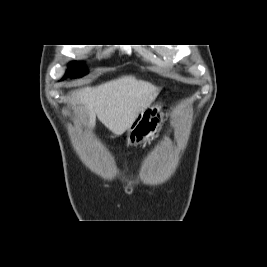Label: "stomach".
<instances>
[{"label":"stomach","instance_id":"1","mask_svg":"<svg viewBox=\"0 0 267 267\" xmlns=\"http://www.w3.org/2000/svg\"><path fill=\"white\" fill-rule=\"evenodd\" d=\"M164 122L162 103L150 105L140 112L127 130L128 146H135L140 143H147L156 138Z\"/></svg>","mask_w":267,"mask_h":267}]
</instances>
